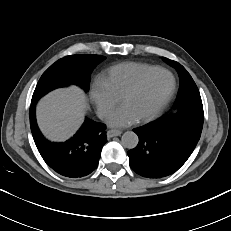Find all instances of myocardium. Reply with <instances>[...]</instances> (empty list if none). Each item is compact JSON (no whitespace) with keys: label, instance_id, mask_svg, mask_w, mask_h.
Returning a JSON list of instances; mask_svg holds the SVG:
<instances>
[{"label":"myocardium","instance_id":"1","mask_svg":"<svg viewBox=\"0 0 231 231\" xmlns=\"http://www.w3.org/2000/svg\"><path fill=\"white\" fill-rule=\"evenodd\" d=\"M160 72L168 73L171 76V78H172L171 90L168 93V95L164 98V100L162 101L160 106L154 112H152L151 114H149L147 116H144V117H141L138 119L140 122H149V121L155 119L156 117H158L163 112V110L169 104V102L173 98V96L176 92V88H177V81H176L175 75L170 70H168L166 68H160L159 67V68L145 74L144 76H142L134 85H132L124 93V95L121 98L122 102L124 103L126 99H128L130 96H132L133 94L138 92L150 78H152L154 75H156L157 73H160Z\"/></svg>","mask_w":231,"mask_h":231}]
</instances>
